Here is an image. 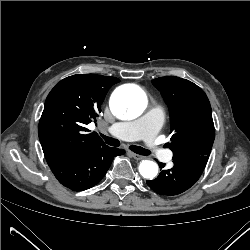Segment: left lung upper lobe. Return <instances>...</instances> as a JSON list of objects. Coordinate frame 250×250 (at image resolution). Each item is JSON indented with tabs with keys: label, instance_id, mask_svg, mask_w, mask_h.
Segmentation results:
<instances>
[{
	"label": "left lung upper lobe",
	"instance_id": "1",
	"mask_svg": "<svg viewBox=\"0 0 250 250\" xmlns=\"http://www.w3.org/2000/svg\"><path fill=\"white\" fill-rule=\"evenodd\" d=\"M170 113L173 159L194 156L209 158L215 131L209 100L196 84L179 77L152 80Z\"/></svg>",
	"mask_w": 250,
	"mask_h": 250
}]
</instances>
